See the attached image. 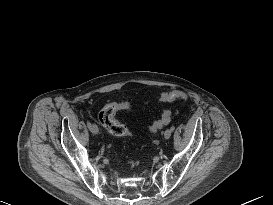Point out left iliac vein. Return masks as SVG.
I'll return each instance as SVG.
<instances>
[{
	"instance_id": "1",
	"label": "left iliac vein",
	"mask_w": 273,
	"mask_h": 205,
	"mask_svg": "<svg viewBox=\"0 0 273 205\" xmlns=\"http://www.w3.org/2000/svg\"><path fill=\"white\" fill-rule=\"evenodd\" d=\"M171 136V130L170 129H167L165 132H164V138L165 139H169Z\"/></svg>"
}]
</instances>
